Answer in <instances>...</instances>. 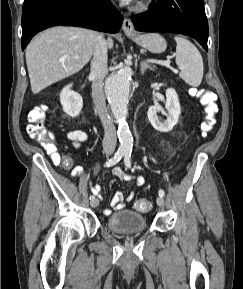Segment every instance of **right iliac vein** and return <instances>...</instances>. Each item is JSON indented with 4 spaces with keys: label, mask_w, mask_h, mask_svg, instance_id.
Returning a JSON list of instances; mask_svg holds the SVG:
<instances>
[{
    "label": "right iliac vein",
    "mask_w": 243,
    "mask_h": 289,
    "mask_svg": "<svg viewBox=\"0 0 243 289\" xmlns=\"http://www.w3.org/2000/svg\"><path fill=\"white\" fill-rule=\"evenodd\" d=\"M90 205L91 207L96 208L99 205V200L97 198L91 199Z\"/></svg>",
    "instance_id": "right-iliac-vein-1"
}]
</instances>
